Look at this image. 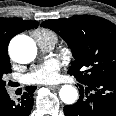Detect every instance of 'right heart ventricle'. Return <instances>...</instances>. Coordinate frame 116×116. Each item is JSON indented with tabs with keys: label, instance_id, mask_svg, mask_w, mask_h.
Segmentation results:
<instances>
[{
	"label": "right heart ventricle",
	"instance_id": "e07e8e85",
	"mask_svg": "<svg viewBox=\"0 0 116 116\" xmlns=\"http://www.w3.org/2000/svg\"><path fill=\"white\" fill-rule=\"evenodd\" d=\"M33 36L37 42L52 41L56 43L58 39L57 34L54 31L46 28H38L34 30Z\"/></svg>",
	"mask_w": 116,
	"mask_h": 116
}]
</instances>
